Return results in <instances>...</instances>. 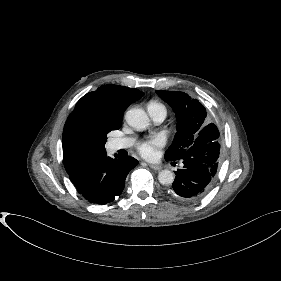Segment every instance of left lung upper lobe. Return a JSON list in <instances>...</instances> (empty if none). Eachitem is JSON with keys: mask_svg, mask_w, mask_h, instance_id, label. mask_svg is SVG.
<instances>
[{"mask_svg": "<svg viewBox=\"0 0 281 281\" xmlns=\"http://www.w3.org/2000/svg\"><path fill=\"white\" fill-rule=\"evenodd\" d=\"M176 113L177 133L172 145L165 153V159H182L193 145H200L219 140V131L213 123L207 122L204 106L188 94L177 91H156Z\"/></svg>", "mask_w": 281, "mask_h": 281, "instance_id": "1", "label": "left lung upper lobe"}]
</instances>
